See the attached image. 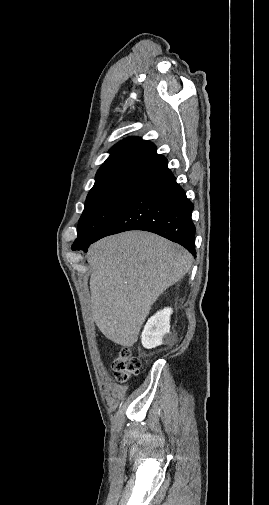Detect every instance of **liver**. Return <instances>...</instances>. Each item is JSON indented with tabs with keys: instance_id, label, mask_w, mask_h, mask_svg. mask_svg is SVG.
I'll return each instance as SVG.
<instances>
[{
	"instance_id": "1",
	"label": "liver",
	"mask_w": 269,
	"mask_h": 505,
	"mask_svg": "<svg viewBox=\"0 0 269 505\" xmlns=\"http://www.w3.org/2000/svg\"><path fill=\"white\" fill-rule=\"evenodd\" d=\"M193 257L156 234L127 231L91 245V310L105 337L131 347L153 303L190 270Z\"/></svg>"
}]
</instances>
